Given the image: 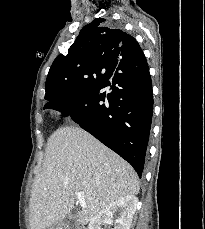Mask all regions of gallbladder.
Here are the masks:
<instances>
[{
  "mask_svg": "<svg viewBox=\"0 0 205 229\" xmlns=\"http://www.w3.org/2000/svg\"><path fill=\"white\" fill-rule=\"evenodd\" d=\"M75 216L76 214L73 212L70 214V217H68L66 220L64 221L61 220L58 223L53 224L48 229H57V227H61V226H63L64 229H75L76 226V222L74 221Z\"/></svg>",
  "mask_w": 205,
  "mask_h": 229,
  "instance_id": "obj_1",
  "label": "gallbladder"
}]
</instances>
